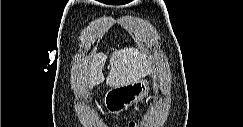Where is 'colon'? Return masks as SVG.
<instances>
[{"label": "colon", "instance_id": "1", "mask_svg": "<svg viewBox=\"0 0 243 127\" xmlns=\"http://www.w3.org/2000/svg\"><path fill=\"white\" fill-rule=\"evenodd\" d=\"M135 124H136L135 121H131V122L129 123L130 126H134Z\"/></svg>", "mask_w": 243, "mask_h": 127}]
</instances>
